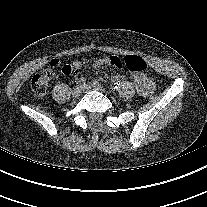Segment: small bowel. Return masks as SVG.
I'll use <instances>...</instances> for the list:
<instances>
[{"label": "small bowel", "instance_id": "obj_1", "mask_svg": "<svg viewBox=\"0 0 207 207\" xmlns=\"http://www.w3.org/2000/svg\"><path fill=\"white\" fill-rule=\"evenodd\" d=\"M53 65H57V61L53 60L52 61ZM111 65L116 68H121V60L117 56H110V57H105L102 59H98L92 63V68H98L102 65ZM84 65L83 62L80 60H77L73 63V70L75 72H79L83 69ZM63 74H68L70 71H62ZM119 82H121L124 85H133L136 87L137 91L143 95V96H149L150 94L153 93L155 89V84L153 80L144 74H136L132 76V81L127 82L124 79L117 78Z\"/></svg>", "mask_w": 207, "mask_h": 207}]
</instances>
